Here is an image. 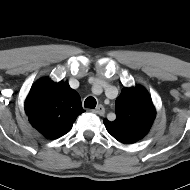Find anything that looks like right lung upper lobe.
<instances>
[{
    "label": "right lung upper lobe",
    "mask_w": 190,
    "mask_h": 190,
    "mask_svg": "<svg viewBox=\"0 0 190 190\" xmlns=\"http://www.w3.org/2000/svg\"><path fill=\"white\" fill-rule=\"evenodd\" d=\"M25 111L32 126L49 139L68 133L77 116L84 112L79 94L68 81L53 82L49 78L33 85Z\"/></svg>",
    "instance_id": "1"
}]
</instances>
